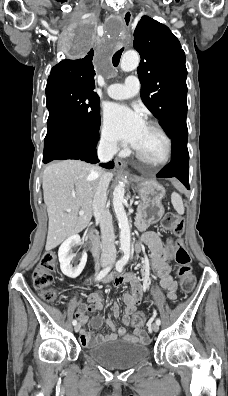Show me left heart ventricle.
Listing matches in <instances>:
<instances>
[{"instance_id":"b2bd125f","label":"left heart ventricle","mask_w":228,"mask_h":396,"mask_svg":"<svg viewBox=\"0 0 228 396\" xmlns=\"http://www.w3.org/2000/svg\"><path fill=\"white\" fill-rule=\"evenodd\" d=\"M135 148L148 160L158 162L166 154V142L155 129L145 125Z\"/></svg>"}]
</instances>
